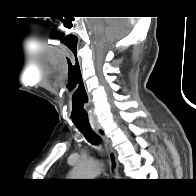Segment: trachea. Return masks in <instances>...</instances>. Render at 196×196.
I'll return each mask as SVG.
<instances>
[{
  "mask_svg": "<svg viewBox=\"0 0 196 196\" xmlns=\"http://www.w3.org/2000/svg\"><path fill=\"white\" fill-rule=\"evenodd\" d=\"M78 130L83 133V135L85 136L86 140L93 144V145H99L102 143V139L99 135H97L92 129L91 127L89 128H78Z\"/></svg>",
  "mask_w": 196,
  "mask_h": 196,
  "instance_id": "obj_1",
  "label": "trachea"
}]
</instances>
